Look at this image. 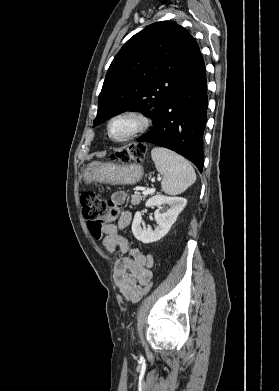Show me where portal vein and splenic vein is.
Wrapping results in <instances>:
<instances>
[{
  "instance_id": "obj_1",
  "label": "portal vein and splenic vein",
  "mask_w": 279,
  "mask_h": 391,
  "mask_svg": "<svg viewBox=\"0 0 279 391\" xmlns=\"http://www.w3.org/2000/svg\"><path fill=\"white\" fill-rule=\"evenodd\" d=\"M154 192H155V188H150V189L144 190L142 193L144 195H148V194H153Z\"/></svg>"
}]
</instances>
